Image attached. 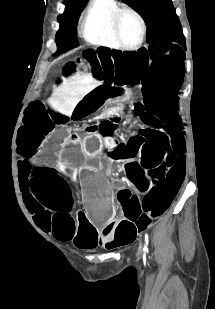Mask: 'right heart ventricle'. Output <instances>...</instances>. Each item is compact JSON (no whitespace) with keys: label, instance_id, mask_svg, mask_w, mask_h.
<instances>
[{"label":"right heart ventricle","instance_id":"1","mask_svg":"<svg viewBox=\"0 0 215 309\" xmlns=\"http://www.w3.org/2000/svg\"><path fill=\"white\" fill-rule=\"evenodd\" d=\"M83 34L88 43L95 46L117 48L114 44L116 33L113 31L114 19L107 9H96L90 19H83Z\"/></svg>","mask_w":215,"mask_h":309}]
</instances>
